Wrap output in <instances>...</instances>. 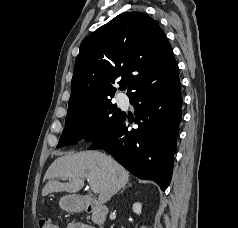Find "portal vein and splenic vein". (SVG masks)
Masks as SVG:
<instances>
[{"label": "portal vein and splenic vein", "mask_w": 238, "mask_h": 228, "mask_svg": "<svg viewBox=\"0 0 238 228\" xmlns=\"http://www.w3.org/2000/svg\"><path fill=\"white\" fill-rule=\"evenodd\" d=\"M91 190L94 192V193H98V190L95 188V187H91Z\"/></svg>", "instance_id": "18ae733b"}]
</instances>
